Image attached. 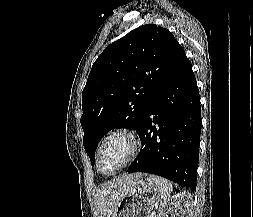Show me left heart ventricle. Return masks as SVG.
<instances>
[{
    "label": "left heart ventricle",
    "mask_w": 253,
    "mask_h": 217,
    "mask_svg": "<svg viewBox=\"0 0 253 217\" xmlns=\"http://www.w3.org/2000/svg\"><path fill=\"white\" fill-rule=\"evenodd\" d=\"M129 151V146L124 138L116 137L109 141L103 148L99 168L103 173H111L114 171L126 158Z\"/></svg>",
    "instance_id": "obj_1"
}]
</instances>
